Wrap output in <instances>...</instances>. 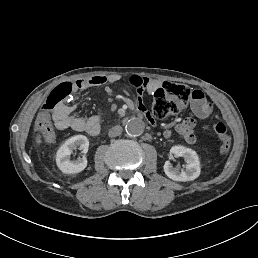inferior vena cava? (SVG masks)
I'll return each instance as SVG.
<instances>
[{"instance_id":"obj_1","label":"inferior vena cava","mask_w":258,"mask_h":258,"mask_svg":"<svg viewBox=\"0 0 258 258\" xmlns=\"http://www.w3.org/2000/svg\"><path fill=\"white\" fill-rule=\"evenodd\" d=\"M123 128L120 125L114 126L109 130V137H117L122 134Z\"/></svg>"}]
</instances>
